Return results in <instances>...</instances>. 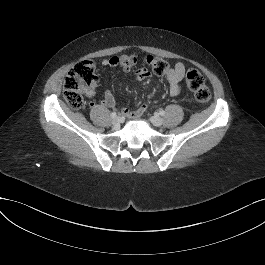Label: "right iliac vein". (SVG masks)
I'll list each match as a JSON object with an SVG mask.
<instances>
[{
    "mask_svg": "<svg viewBox=\"0 0 265 265\" xmlns=\"http://www.w3.org/2000/svg\"><path fill=\"white\" fill-rule=\"evenodd\" d=\"M120 124H121V119H120L119 117H116V118H114V119L112 120V125H113L115 128L119 127Z\"/></svg>",
    "mask_w": 265,
    "mask_h": 265,
    "instance_id": "1",
    "label": "right iliac vein"
}]
</instances>
